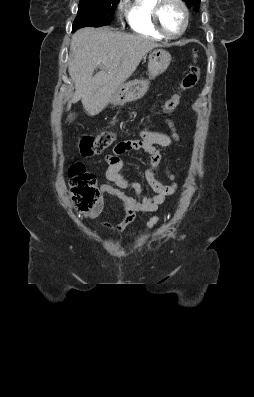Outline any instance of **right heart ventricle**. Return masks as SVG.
<instances>
[{
  "label": "right heart ventricle",
  "mask_w": 254,
  "mask_h": 397,
  "mask_svg": "<svg viewBox=\"0 0 254 397\" xmlns=\"http://www.w3.org/2000/svg\"><path fill=\"white\" fill-rule=\"evenodd\" d=\"M157 0H132L128 6L127 20L136 34L163 40L164 37L156 30L153 23V9Z\"/></svg>",
  "instance_id": "right-heart-ventricle-1"
}]
</instances>
